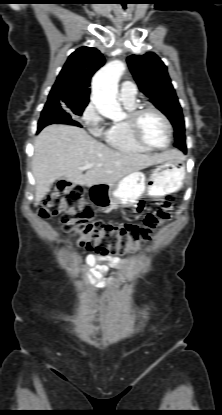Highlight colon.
Listing matches in <instances>:
<instances>
[{"label": "colon", "instance_id": "5ec220e1", "mask_svg": "<svg viewBox=\"0 0 222 415\" xmlns=\"http://www.w3.org/2000/svg\"><path fill=\"white\" fill-rule=\"evenodd\" d=\"M83 189L68 181L57 182L41 205L43 218L62 216L63 230L74 232L79 245L100 255L134 253L142 241L170 218L169 205L165 204L148 213L142 224L113 225L92 219V210L83 203Z\"/></svg>", "mask_w": 222, "mask_h": 415}]
</instances>
